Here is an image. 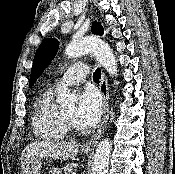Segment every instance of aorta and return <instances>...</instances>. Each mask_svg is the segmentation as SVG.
<instances>
[{
	"mask_svg": "<svg viewBox=\"0 0 175 174\" xmlns=\"http://www.w3.org/2000/svg\"><path fill=\"white\" fill-rule=\"evenodd\" d=\"M92 53L98 63L103 66L111 76H117V61L107 43L96 37H85L71 42L65 49L68 58H75L86 53ZM57 102L63 106L74 105L77 97L68 88H58ZM111 143L103 139L96 148L91 174H107Z\"/></svg>",
	"mask_w": 175,
	"mask_h": 174,
	"instance_id": "1",
	"label": "aorta"
}]
</instances>
